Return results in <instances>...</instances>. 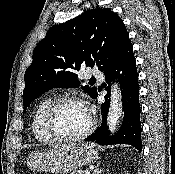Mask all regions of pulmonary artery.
<instances>
[{
  "label": "pulmonary artery",
  "instance_id": "obj_1",
  "mask_svg": "<svg viewBox=\"0 0 175 174\" xmlns=\"http://www.w3.org/2000/svg\"><path fill=\"white\" fill-rule=\"evenodd\" d=\"M90 73L92 75L96 76V77H102L103 76L102 73L96 68L91 69Z\"/></svg>",
  "mask_w": 175,
  "mask_h": 174
}]
</instances>
